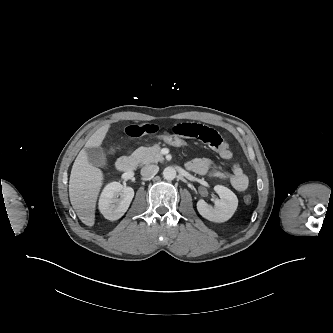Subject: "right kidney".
I'll use <instances>...</instances> for the list:
<instances>
[{"mask_svg":"<svg viewBox=\"0 0 333 333\" xmlns=\"http://www.w3.org/2000/svg\"><path fill=\"white\" fill-rule=\"evenodd\" d=\"M133 197V188L123 186L118 182H111L104 188L100 196L99 210L106 219L117 220L127 211Z\"/></svg>","mask_w":333,"mask_h":333,"instance_id":"1","label":"right kidney"}]
</instances>
